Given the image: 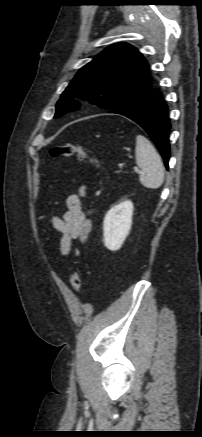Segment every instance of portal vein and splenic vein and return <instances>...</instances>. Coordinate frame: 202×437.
Masks as SVG:
<instances>
[{
    "instance_id": "portal-vein-and-splenic-vein-1",
    "label": "portal vein and splenic vein",
    "mask_w": 202,
    "mask_h": 437,
    "mask_svg": "<svg viewBox=\"0 0 202 437\" xmlns=\"http://www.w3.org/2000/svg\"><path fill=\"white\" fill-rule=\"evenodd\" d=\"M134 169H135L136 171L138 170V168H137V167H135Z\"/></svg>"
}]
</instances>
